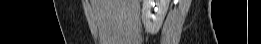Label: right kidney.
I'll use <instances>...</instances> for the list:
<instances>
[{
  "label": "right kidney",
  "mask_w": 261,
  "mask_h": 44,
  "mask_svg": "<svg viewBox=\"0 0 261 44\" xmlns=\"http://www.w3.org/2000/svg\"><path fill=\"white\" fill-rule=\"evenodd\" d=\"M170 0H143L142 22L145 30L151 34H155L162 26L163 20L167 13ZM155 14L152 13L154 7Z\"/></svg>",
  "instance_id": "right-kidney-1"
}]
</instances>
